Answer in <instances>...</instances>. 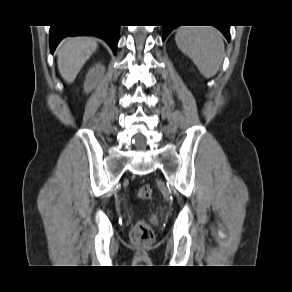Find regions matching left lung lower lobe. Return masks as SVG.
<instances>
[{"mask_svg": "<svg viewBox=\"0 0 292 292\" xmlns=\"http://www.w3.org/2000/svg\"><path fill=\"white\" fill-rule=\"evenodd\" d=\"M178 26H163V40L168 36V34ZM227 38L230 39V27L229 26H216Z\"/></svg>", "mask_w": 292, "mask_h": 292, "instance_id": "obj_1", "label": "left lung lower lobe"}]
</instances>
